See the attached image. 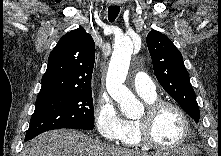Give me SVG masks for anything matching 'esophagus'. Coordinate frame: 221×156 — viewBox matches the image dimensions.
I'll return each instance as SVG.
<instances>
[{
    "instance_id": "1",
    "label": "esophagus",
    "mask_w": 221,
    "mask_h": 156,
    "mask_svg": "<svg viewBox=\"0 0 221 156\" xmlns=\"http://www.w3.org/2000/svg\"><path fill=\"white\" fill-rule=\"evenodd\" d=\"M110 1V3L112 4V5H118V1L117 0H109Z\"/></svg>"
}]
</instances>
